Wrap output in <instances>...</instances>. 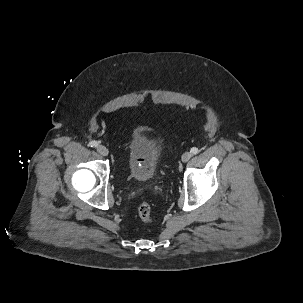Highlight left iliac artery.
I'll use <instances>...</instances> for the list:
<instances>
[{"label":"left iliac artery","mask_w":303,"mask_h":303,"mask_svg":"<svg viewBox=\"0 0 303 303\" xmlns=\"http://www.w3.org/2000/svg\"><path fill=\"white\" fill-rule=\"evenodd\" d=\"M198 152H199L198 148H196V147L191 148L192 154L196 155V154H198Z\"/></svg>","instance_id":"1"}]
</instances>
